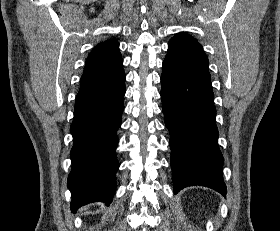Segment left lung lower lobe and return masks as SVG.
I'll list each match as a JSON object with an SVG mask.
<instances>
[{
    "mask_svg": "<svg viewBox=\"0 0 280 231\" xmlns=\"http://www.w3.org/2000/svg\"><path fill=\"white\" fill-rule=\"evenodd\" d=\"M162 110L170 132L174 193L200 185L226 195L223 156L211 80L208 76H176L163 65Z\"/></svg>",
    "mask_w": 280,
    "mask_h": 231,
    "instance_id": "obj_1",
    "label": "left lung lower lobe"
}]
</instances>
